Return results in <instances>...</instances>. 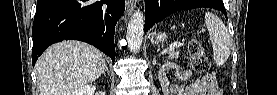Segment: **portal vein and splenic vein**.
Returning a JSON list of instances; mask_svg holds the SVG:
<instances>
[{
	"label": "portal vein and splenic vein",
	"mask_w": 277,
	"mask_h": 95,
	"mask_svg": "<svg viewBox=\"0 0 277 95\" xmlns=\"http://www.w3.org/2000/svg\"><path fill=\"white\" fill-rule=\"evenodd\" d=\"M183 45H184V43H181V42H174L173 44L170 45L169 50H170V51H171V50H174L175 48H179V47H181V46H183Z\"/></svg>",
	"instance_id": "portal-vein-and-splenic-vein-1"
}]
</instances>
